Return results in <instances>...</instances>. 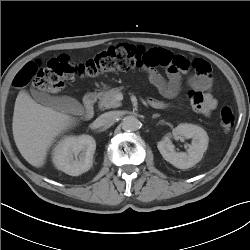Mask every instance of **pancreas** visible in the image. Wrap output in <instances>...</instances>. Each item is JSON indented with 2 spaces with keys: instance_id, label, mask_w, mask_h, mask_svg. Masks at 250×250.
Wrapping results in <instances>:
<instances>
[{
  "instance_id": "1",
  "label": "pancreas",
  "mask_w": 250,
  "mask_h": 250,
  "mask_svg": "<svg viewBox=\"0 0 250 250\" xmlns=\"http://www.w3.org/2000/svg\"><path fill=\"white\" fill-rule=\"evenodd\" d=\"M122 88H113L103 94L100 98L99 106L100 108H116L120 106V102L116 100V96L121 94Z\"/></svg>"
}]
</instances>
